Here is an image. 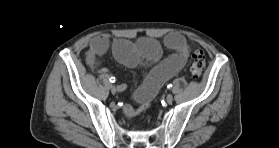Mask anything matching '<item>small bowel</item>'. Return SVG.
<instances>
[{
  "mask_svg": "<svg viewBox=\"0 0 279 148\" xmlns=\"http://www.w3.org/2000/svg\"><path fill=\"white\" fill-rule=\"evenodd\" d=\"M164 45L172 51L168 57L162 59V48L158 41L150 38L132 43L127 40H114L112 50L119 62L127 67L152 65L143 84L137 88L133 97L138 107L125 106L124 113L134 116L143 112L152 98L163 84L175 76L187 63L191 48L185 37L180 33H169L164 37ZM111 38L108 34L96 36L86 52V64L94 71L106 73L107 70L99 66L98 59L109 49ZM121 89H123L121 87Z\"/></svg>",
  "mask_w": 279,
  "mask_h": 148,
  "instance_id": "1",
  "label": "small bowel"
}]
</instances>
